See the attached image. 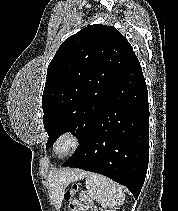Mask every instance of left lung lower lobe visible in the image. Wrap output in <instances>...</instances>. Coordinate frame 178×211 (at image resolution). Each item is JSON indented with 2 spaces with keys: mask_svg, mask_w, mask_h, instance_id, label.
Masks as SVG:
<instances>
[{
  "mask_svg": "<svg viewBox=\"0 0 178 211\" xmlns=\"http://www.w3.org/2000/svg\"><path fill=\"white\" fill-rule=\"evenodd\" d=\"M148 123L147 87L134 55L112 86L86 138L62 166L105 175L137 198L148 167Z\"/></svg>",
  "mask_w": 178,
  "mask_h": 211,
  "instance_id": "left-lung-lower-lobe-1",
  "label": "left lung lower lobe"
}]
</instances>
